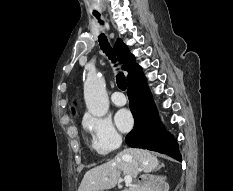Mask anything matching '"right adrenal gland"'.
Wrapping results in <instances>:
<instances>
[{"label": "right adrenal gland", "mask_w": 233, "mask_h": 191, "mask_svg": "<svg viewBox=\"0 0 233 191\" xmlns=\"http://www.w3.org/2000/svg\"><path fill=\"white\" fill-rule=\"evenodd\" d=\"M162 167H164V164H161L156 170H159Z\"/></svg>", "instance_id": "right-adrenal-gland-1"}]
</instances>
